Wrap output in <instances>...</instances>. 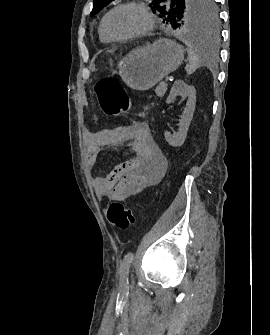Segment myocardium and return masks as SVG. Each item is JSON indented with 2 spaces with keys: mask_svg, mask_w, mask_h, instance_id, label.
<instances>
[{
  "mask_svg": "<svg viewBox=\"0 0 270 335\" xmlns=\"http://www.w3.org/2000/svg\"><path fill=\"white\" fill-rule=\"evenodd\" d=\"M123 6L137 7L143 13V15L146 18V26L141 31L131 33V34H128V35H124V36H116V35L111 33V31L108 28V19H109L110 15L115 10H117V9L123 7ZM154 25H155V18L153 16V14L148 10L146 5L143 4L142 2H138V1H134V0L124 1V2H121V3L117 4L116 6H114L112 9H110L106 13V15L104 16V18L101 22V26H102V29L105 32V34L110 39L119 40V41H126V40H132V39L143 37V36L149 34L153 30ZM140 51H141V49H135L131 52H140ZM125 78H127V77H125Z\"/></svg>",
  "mask_w": 270,
  "mask_h": 335,
  "instance_id": "myocardium-1",
  "label": "myocardium"
}]
</instances>
